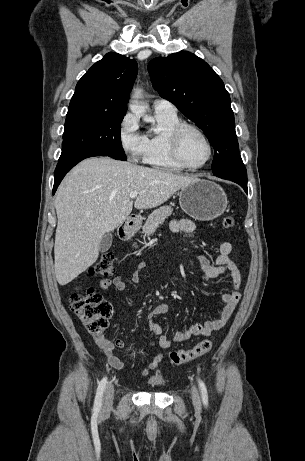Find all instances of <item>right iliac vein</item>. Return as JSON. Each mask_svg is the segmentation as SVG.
Instances as JSON below:
<instances>
[{
    "label": "right iliac vein",
    "mask_w": 305,
    "mask_h": 461,
    "mask_svg": "<svg viewBox=\"0 0 305 461\" xmlns=\"http://www.w3.org/2000/svg\"><path fill=\"white\" fill-rule=\"evenodd\" d=\"M113 397H114V387L112 384H109L106 387L104 396H103L102 409L104 411L109 410V408L112 406Z\"/></svg>",
    "instance_id": "right-iliac-vein-1"
}]
</instances>
